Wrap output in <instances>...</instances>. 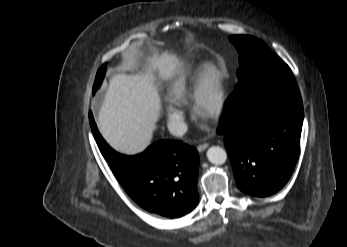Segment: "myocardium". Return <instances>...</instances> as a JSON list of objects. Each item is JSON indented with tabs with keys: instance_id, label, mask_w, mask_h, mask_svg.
I'll list each match as a JSON object with an SVG mask.
<instances>
[{
	"instance_id": "f54148a6",
	"label": "myocardium",
	"mask_w": 347,
	"mask_h": 247,
	"mask_svg": "<svg viewBox=\"0 0 347 247\" xmlns=\"http://www.w3.org/2000/svg\"><path fill=\"white\" fill-rule=\"evenodd\" d=\"M226 99L221 73L214 66H208L201 73L191 94L194 112L204 120H216L223 112Z\"/></svg>"
}]
</instances>
